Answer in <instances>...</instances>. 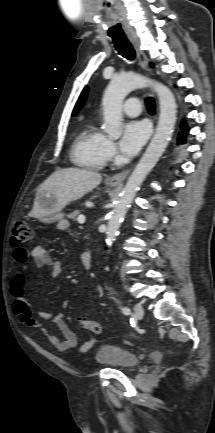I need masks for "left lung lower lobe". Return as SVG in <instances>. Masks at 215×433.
Here are the masks:
<instances>
[{
	"label": "left lung lower lobe",
	"instance_id": "left-lung-lower-lobe-1",
	"mask_svg": "<svg viewBox=\"0 0 215 433\" xmlns=\"http://www.w3.org/2000/svg\"><path fill=\"white\" fill-rule=\"evenodd\" d=\"M181 132L179 133L178 142L184 143L185 142V136L187 134V131H189L187 125L185 122L181 123Z\"/></svg>",
	"mask_w": 215,
	"mask_h": 433
}]
</instances>
